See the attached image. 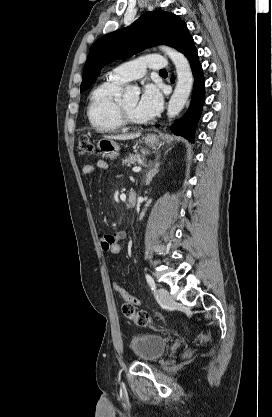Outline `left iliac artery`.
Instances as JSON below:
<instances>
[{
  "instance_id": "1",
  "label": "left iliac artery",
  "mask_w": 272,
  "mask_h": 417,
  "mask_svg": "<svg viewBox=\"0 0 272 417\" xmlns=\"http://www.w3.org/2000/svg\"><path fill=\"white\" fill-rule=\"evenodd\" d=\"M145 277H146L147 283L149 284L151 290L154 293H156V284H155L153 278L149 274H146Z\"/></svg>"
}]
</instances>
